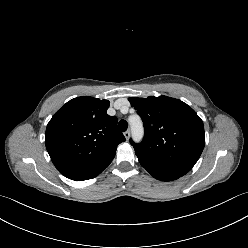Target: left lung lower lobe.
<instances>
[{"label": "left lung lower lobe", "mask_w": 248, "mask_h": 248, "mask_svg": "<svg viewBox=\"0 0 248 248\" xmlns=\"http://www.w3.org/2000/svg\"><path fill=\"white\" fill-rule=\"evenodd\" d=\"M154 178L161 180V181H172V180H176L179 178V176H175V175H169V174H161V173H157V172H152V171H148Z\"/></svg>", "instance_id": "obj_1"}]
</instances>
